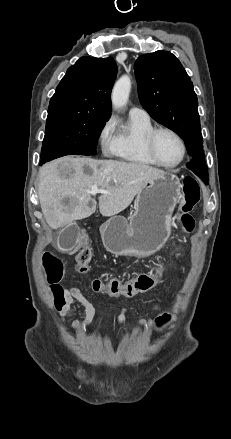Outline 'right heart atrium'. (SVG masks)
<instances>
[{
  "label": "right heart atrium",
  "instance_id": "1",
  "mask_svg": "<svg viewBox=\"0 0 231 439\" xmlns=\"http://www.w3.org/2000/svg\"><path fill=\"white\" fill-rule=\"evenodd\" d=\"M117 124L113 117L108 118L101 126L98 133V141L102 152L111 155L116 147Z\"/></svg>",
  "mask_w": 231,
  "mask_h": 439
}]
</instances>
